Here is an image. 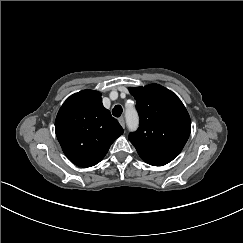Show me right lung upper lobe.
Masks as SVG:
<instances>
[{"label": "right lung upper lobe", "mask_w": 243, "mask_h": 243, "mask_svg": "<svg viewBox=\"0 0 243 243\" xmlns=\"http://www.w3.org/2000/svg\"><path fill=\"white\" fill-rule=\"evenodd\" d=\"M55 132L70 161L91 167L103 159L123 129L104 108L100 92L83 90L64 102L56 117Z\"/></svg>", "instance_id": "1"}]
</instances>
